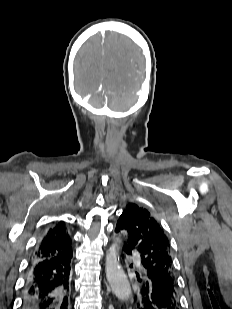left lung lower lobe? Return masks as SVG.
I'll return each instance as SVG.
<instances>
[{
	"mask_svg": "<svg viewBox=\"0 0 232 309\" xmlns=\"http://www.w3.org/2000/svg\"><path fill=\"white\" fill-rule=\"evenodd\" d=\"M118 233V232H117ZM132 250L124 242L121 249V257L131 255ZM137 281L141 285V302L139 309H179L180 304L176 302L165 283L150 271L141 270L136 273Z\"/></svg>",
	"mask_w": 232,
	"mask_h": 309,
	"instance_id": "obj_1",
	"label": "left lung lower lobe"
}]
</instances>
